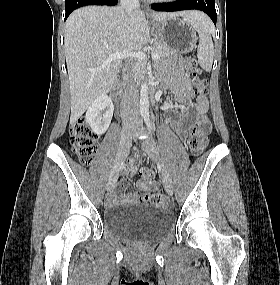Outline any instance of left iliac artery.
Returning a JSON list of instances; mask_svg holds the SVG:
<instances>
[{
    "label": "left iliac artery",
    "instance_id": "obj_1",
    "mask_svg": "<svg viewBox=\"0 0 280 285\" xmlns=\"http://www.w3.org/2000/svg\"><path fill=\"white\" fill-rule=\"evenodd\" d=\"M145 122H146V124H147V126H148V128H149V130H150V132H151V126H150L149 117H146V118H145Z\"/></svg>",
    "mask_w": 280,
    "mask_h": 285
}]
</instances>
